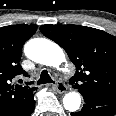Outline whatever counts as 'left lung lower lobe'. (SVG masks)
<instances>
[{
    "instance_id": "left-lung-lower-lobe-1",
    "label": "left lung lower lobe",
    "mask_w": 116,
    "mask_h": 116,
    "mask_svg": "<svg viewBox=\"0 0 116 116\" xmlns=\"http://www.w3.org/2000/svg\"><path fill=\"white\" fill-rule=\"evenodd\" d=\"M85 104L72 116H114L116 114V97L82 94Z\"/></svg>"
}]
</instances>
